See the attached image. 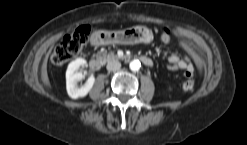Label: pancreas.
I'll use <instances>...</instances> for the list:
<instances>
[{"label":"pancreas","mask_w":247,"mask_h":145,"mask_svg":"<svg viewBox=\"0 0 247 145\" xmlns=\"http://www.w3.org/2000/svg\"><path fill=\"white\" fill-rule=\"evenodd\" d=\"M100 58H102L104 61H110L111 59H116L118 57L114 53H110V54L103 53L100 56Z\"/></svg>","instance_id":"cf45deb5"}]
</instances>
